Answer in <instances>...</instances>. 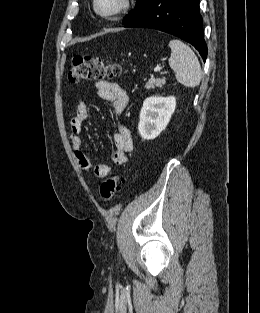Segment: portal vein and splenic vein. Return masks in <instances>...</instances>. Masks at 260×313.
<instances>
[{
  "instance_id": "obj_1",
  "label": "portal vein and splenic vein",
  "mask_w": 260,
  "mask_h": 313,
  "mask_svg": "<svg viewBox=\"0 0 260 313\" xmlns=\"http://www.w3.org/2000/svg\"><path fill=\"white\" fill-rule=\"evenodd\" d=\"M161 69V67H157V68H155V71H158V70H160Z\"/></svg>"
}]
</instances>
